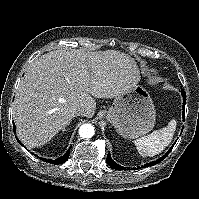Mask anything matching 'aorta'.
I'll use <instances>...</instances> for the list:
<instances>
[{
	"label": "aorta",
	"instance_id": "aorta-1",
	"mask_svg": "<svg viewBox=\"0 0 199 199\" xmlns=\"http://www.w3.org/2000/svg\"><path fill=\"white\" fill-rule=\"evenodd\" d=\"M94 132V127L91 124H83L79 128V135L82 138H91Z\"/></svg>",
	"mask_w": 199,
	"mask_h": 199
}]
</instances>
